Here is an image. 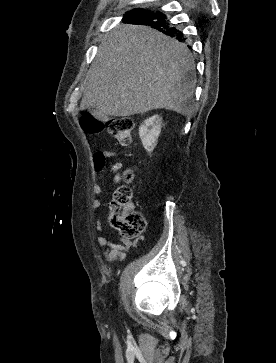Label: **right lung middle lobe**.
<instances>
[{"label":"right lung middle lobe","instance_id":"obj_1","mask_svg":"<svg viewBox=\"0 0 276 363\" xmlns=\"http://www.w3.org/2000/svg\"><path fill=\"white\" fill-rule=\"evenodd\" d=\"M147 10L144 9H133L131 11H129L128 13H126V15L124 17H129V16H137L139 14L144 13Z\"/></svg>","mask_w":276,"mask_h":363}]
</instances>
